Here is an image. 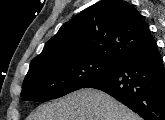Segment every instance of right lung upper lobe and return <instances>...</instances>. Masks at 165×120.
<instances>
[{"instance_id": "obj_1", "label": "right lung upper lobe", "mask_w": 165, "mask_h": 120, "mask_svg": "<svg viewBox=\"0 0 165 120\" xmlns=\"http://www.w3.org/2000/svg\"><path fill=\"white\" fill-rule=\"evenodd\" d=\"M151 39L148 24L128 2L101 0L64 23L30 67L73 58L117 62Z\"/></svg>"}]
</instances>
